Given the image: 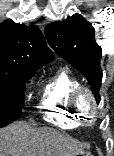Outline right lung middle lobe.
Masks as SVG:
<instances>
[{
	"mask_svg": "<svg viewBox=\"0 0 114 156\" xmlns=\"http://www.w3.org/2000/svg\"><path fill=\"white\" fill-rule=\"evenodd\" d=\"M33 75L24 72H0V127L20 117L25 84Z\"/></svg>",
	"mask_w": 114,
	"mask_h": 156,
	"instance_id": "dd1d6c3e",
	"label": "right lung middle lobe"
}]
</instances>
